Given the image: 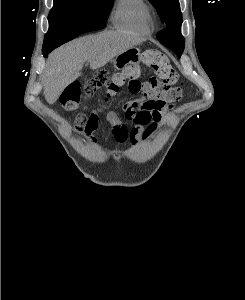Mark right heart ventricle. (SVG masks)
<instances>
[{
    "mask_svg": "<svg viewBox=\"0 0 245 300\" xmlns=\"http://www.w3.org/2000/svg\"><path fill=\"white\" fill-rule=\"evenodd\" d=\"M112 23L119 30L147 34L153 28V17L144 0H118Z\"/></svg>",
    "mask_w": 245,
    "mask_h": 300,
    "instance_id": "right-heart-ventricle-1",
    "label": "right heart ventricle"
}]
</instances>
